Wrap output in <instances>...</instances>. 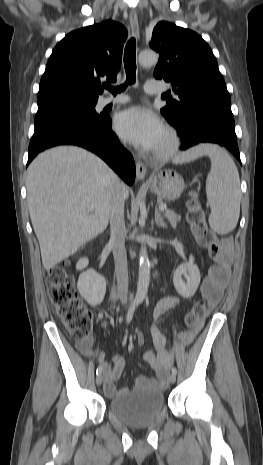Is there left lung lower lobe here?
I'll return each instance as SVG.
<instances>
[{
	"label": "left lung lower lobe",
	"mask_w": 263,
	"mask_h": 465,
	"mask_svg": "<svg viewBox=\"0 0 263 465\" xmlns=\"http://www.w3.org/2000/svg\"><path fill=\"white\" fill-rule=\"evenodd\" d=\"M170 124L179 132L181 150L200 143H215L227 148L241 163L231 110L204 105Z\"/></svg>",
	"instance_id": "obj_1"
}]
</instances>
